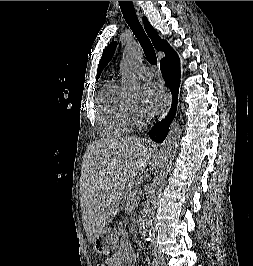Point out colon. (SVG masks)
<instances>
[{
    "label": "colon",
    "mask_w": 253,
    "mask_h": 266,
    "mask_svg": "<svg viewBox=\"0 0 253 266\" xmlns=\"http://www.w3.org/2000/svg\"><path fill=\"white\" fill-rule=\"evenodd\" d=\"M99 266H107L106 263H100Z\"/></svg>",
    "instance_id": "colon-1"
}]
</instances>
